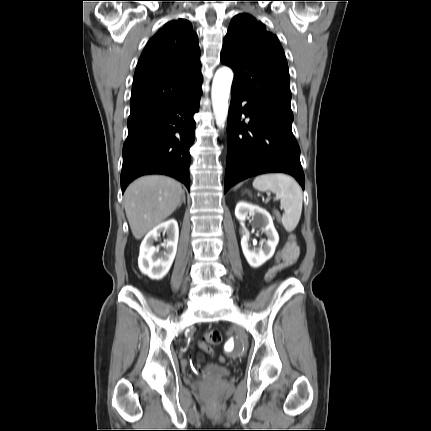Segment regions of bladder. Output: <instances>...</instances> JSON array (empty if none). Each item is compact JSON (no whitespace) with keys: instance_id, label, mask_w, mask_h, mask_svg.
<instances>
[{"instance_id":"bladder-1","label":"bladder","mask_w":431,"mask_h":431,"mask_svg":"<svg viewBox=\"0 0 431 431\" xmlns=\"http://www.w3.org/2000/svg\"><path fill=\"white\" fill-rule=\"evenodd\" d=\"M231 373V369L226 366L207 364L202 371V377L207 379H220L230 376Z\"/></svg>"}]
</instances>
